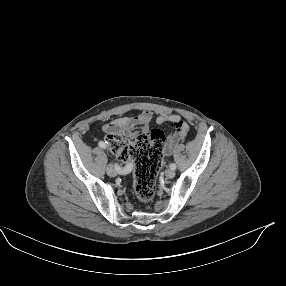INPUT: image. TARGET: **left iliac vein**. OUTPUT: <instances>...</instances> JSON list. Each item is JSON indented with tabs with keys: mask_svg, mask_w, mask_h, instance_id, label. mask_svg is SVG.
I'll list each match as a JSON object with an SVG mask.
<instances>
[{
	"mask_svg": "<svg viewBox=\"0 0 286 286\" xmlns=\"http://www.w3.org/2000/svg\"><path fill=\"white\" fill-rule=\"evenodd\" d=\"M165 176L169 179L173 178L175 176V172L174 170H172L171 168L170 169H167L165 171Z\"/></svg>",
	"mask_w": 286,
	"mask_h": 286,
	"instance_id": "1",
	"label": "left iliac vein"
}]
</instances>
